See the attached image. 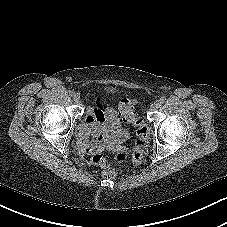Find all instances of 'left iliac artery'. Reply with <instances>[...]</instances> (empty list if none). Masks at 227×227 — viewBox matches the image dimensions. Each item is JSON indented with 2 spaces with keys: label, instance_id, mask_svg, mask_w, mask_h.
<instances>
[{
  "label": "left iliac artery",
  "instance_id": "obj_1",
  "mask_svg": "<svg viewBox=\"0 0 227 227\" xmlns=\"http://www.w3.org/2000/svg\"><path fill=\"white\" fill-rule=\"evenodd\" d=\"M166 101V97L165 96H162L161 98H160V102L161 103H164Z\"/></svg>",
  "mask_w": 227,
  "mask_h": 227
}]
</instances>
